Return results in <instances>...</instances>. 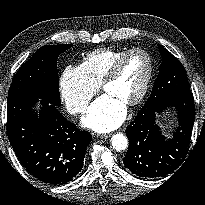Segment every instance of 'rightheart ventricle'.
<instances>
[{"mask_svg": "<svg viewBox=\"0 0 205 205\" xmlns=\"http://www.w3.org/2000/svg\"><path fill=\"white\" fill-rule=\"evenodd\" d=\"M128 49H98L88 53L80 67L93 85H99L114 62Z\"/></svg>", "mask_w": 205, "mask_h": 205, "instance_id": "obj_1", "label": "right heart ventricle"}]
</instances>
